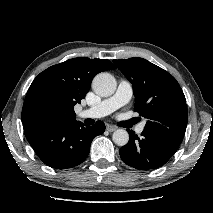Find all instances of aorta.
Masks as SVG:
<instances>
[{"mask_svg":"<svg viewBox=\"0 0 213 213\" xmlns=\"http://www.w3.org/2000/svg\"><path fill=\"white\" fill-rule=\"evenodd\" d=\"M92 88L96 94L108 97L116 90V80L111 74L102 72L94 77ZM112 140L116 145L124 146L129 141V134L124 129H118L113 133Z\"/></svg>","mask_w":213,"mask_h":213,"instance_id":"obj_1","label":"aorta"}]
</instances>
